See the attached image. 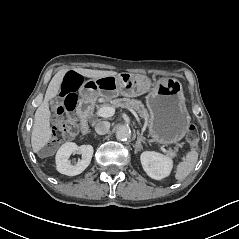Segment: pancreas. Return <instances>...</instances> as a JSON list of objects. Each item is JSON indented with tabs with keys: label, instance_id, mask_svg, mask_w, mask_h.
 Segmentation results:
<instances>
[{
	"label": "pancreas",
	"instance_id": "1",
	"mask_svg": "<svg viewBox=\"0 0 239 239\" xmlns=\"http://www.w3.org/2000/svg\"><path fill=\"white\" fill-rule=\"evenodd\" d=\"M109 104L112 107H122V108H128V109H134L138 112V114L147 119L148 118V111L147 109L144 107V105L141 103V101L136 100V99H130V98H117V99H113V100H109L108 101ZM94 103V102H92ZM94 108L99 109L100 106L97 104H93Z\"/></svg>",
	"mask_w": 239,
	"mask_h": 239
}]
</instances>
